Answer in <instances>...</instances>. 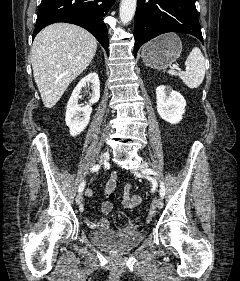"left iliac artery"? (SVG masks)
Returning <instances> with one entry per match:
<instances>
[{"instance_id":"left-iliac-artery-1","label":"left iliac artery","mask_w":240,"mask_h":281,"mask_svg":"<svg viewBox=\"0 0 240 281\" xmlns=\"http://www.w3.org/2000/svg\"><path fill=\"white\" fill-rule=\"evenodd\" d=\"M142 172L144 174L157 175V173L154 170H152V169H145ZM164 195H165V186H164L163 182H161V184H160V196L164 197Z\"/></svg>"}]
</instances>
